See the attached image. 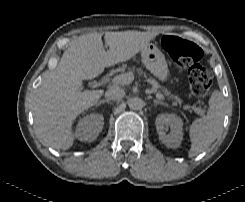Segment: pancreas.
I'll use <instances>...</instances> for the list:
<instances>
[{"instance_id":"1","label":"pancreas","mask_w":245,"mask_h":202,"mask_svg":"<svg viewBox=\"0 0 245 202\" xmlns=\"http://www.w3.org/2000/svg\"><path fill=\"white\" fill-rule=\"evenodd\" d=\"M138 72L142 73L141 70H138ZM146 77V75H145ZM148 82L152 85L153 89L158 92H163L165 96L169 97L170 99H175L174 105L181 104V99L173 94H171L167 89H164L159 85V83L154 78H149ZM186 108V106L184 107Z\"/></svg>"}]
</instances>
